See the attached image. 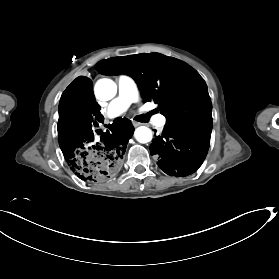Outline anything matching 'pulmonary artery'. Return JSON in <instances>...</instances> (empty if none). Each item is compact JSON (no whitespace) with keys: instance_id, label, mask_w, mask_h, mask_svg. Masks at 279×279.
<instances>
[{"instance_id":"obj_1","label":"pulmonary artery","mask_w":279,"mask_h":279,"mask_svg":"<svg viewBox=\"0 0 279 279\" xmlns=\"http://www.w3.org/2000/svg\"><path fill=\"white\" fill-rule=\"evenodd\" d=\"M116 83L118 95L102 108V113L107 118L115 117L125 112L137 97V95L135 97L136 85L130 77L119 75L116 77Z\"/></svg>"}]
</instances>
